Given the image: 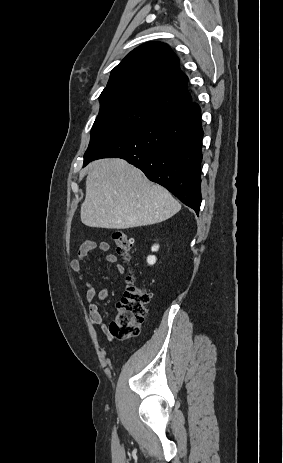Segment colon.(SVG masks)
<instances>
[{"mask_svg": "<svg viewBox=\"0 0 283 463\" xmlns=\"http://www.w3.org/2000/svg\"><path fill=\"white\" fill-rule=\"evenodd\" d=\"M112 240L119 255L131 260L135 255L132 238L122 230H114ZM150 300L147 289L139 286L131 275L127 279L124 296L110 324V333L119 340H127L139 333L146 316V306Z\"/></svg>", "mask_w": 283, "mask_h": 463, "instance_id": "1", "label": "colon"}]
</instances>
